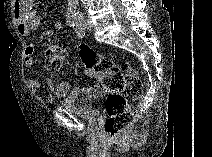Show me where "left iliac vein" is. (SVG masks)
I'll use <instances>...</instances> for the list:
<instances>
[{
  "label": "left iliac vein",
  "instance_id": "obj_1",
  "mask_svg": "<svg viewBox=\"0 0 212 157\" xmlns=\"http://www.w3.org/2000/svg\"><path fill=\"white\" fill-rule=\"evenodd\" d=\"M82 26L84 29L90 30L92 28V24L88 20H82Z\"/></svg>",
  "mask_w": 212,
  "mask_h": 157
}]
</instances>
